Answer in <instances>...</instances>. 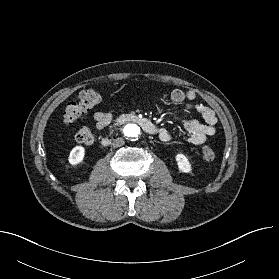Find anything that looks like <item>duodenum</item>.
I'll use <instances>...</instances> for the list:
<instances>
[{"label": "duodenum", "instance_id": "410a0bca", "mask_svg": "<svg viewBox=\"0 0 279 279\" xmlns=\"http://www.w3.org/2000/svg\"><path fill=\"white\" fill-rule=\"evenodd\" d=\"M129 122L138 124L145 132H147L149 134L157 133L156 127L152 124V122L150 120H148L147 118L139 117L137 115H132V114L121 115L117 119L116 125L120 126L122 124L129 123ZM109 144H110V140L108 138H103L100 141V145L102 148H106Z\"/></svg>", "mask_w": 279, "mask_h": 279}]
</instances>
